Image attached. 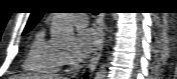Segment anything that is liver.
I'll use <instances>...</instances> for the list:
<instances>
[{"label": "liver", "instance_id": "liver-1", "mask_svg": "<svg viewBox=\"0 0 177 79\" xmlns=\"http://www.w3.org/2000/svg\"><path fill=\"white\" fill-rule=\"evenodd\" d=\"M14 79H63V78L55 75H47V76L20 75V76H14Z\"/></svg>", "mask_w": 177, "mask_h": 79}]
</instances>
